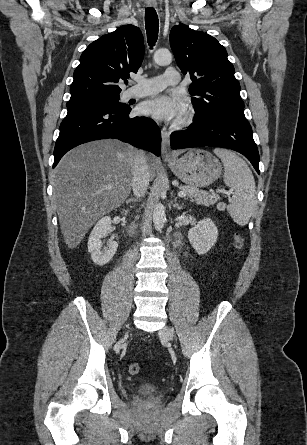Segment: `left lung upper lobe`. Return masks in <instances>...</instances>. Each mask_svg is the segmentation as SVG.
Segmentation results:
<instances>
[{
    "instance_id": "obj_1",
    "label": "left lung upper lobe",
    "mask_w": 307,
    "mask_h": 445,
    "mask_svg": "<svg viewBox=\"0 0 307 445\" xmlns=\"http://www.w3.org/2000/svg\"><path fill=\"white\" fill-rule=\"evenodd\" d=\"M170 44L179 68L193 81L189 92L194 96V122L215 116L245 118L234 67L214 37L179 24L171 29Z\"/></svg>"
}]
</instances>
